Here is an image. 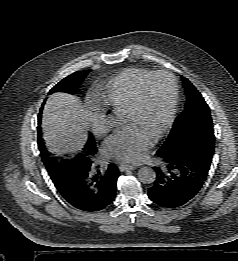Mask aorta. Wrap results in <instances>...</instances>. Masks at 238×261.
<instances>
[{
    "mask_svg": "<svg viewBox=\"0 0 238 261\" xmlns=\"http://www.w3.org/2000/svg\"><path fill=\"white\" fill-rule=\"evenodd\" d=\"M111 120L112 124H118V120L116 118H113ZM138 179L144 184H151L156 179V173L151 167H142L138 171Z\"/></svg>",
    "mask_w": 238,
    "mask_h": 261,
    "instance_id": "obj_1",
    "label": "aorta"
}]
</instances>
